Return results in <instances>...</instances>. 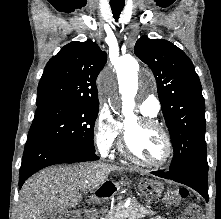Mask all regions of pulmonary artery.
<instances>
[{"label": "pulmonary artery", "instance_id": "e3ab8cb5", "mask_svg": "<svg viewBox=\"0 0 221 219\" xmlns=\"http://www.w3.org/2000/svg\"><path fill=\"white\" fill-rule=\"evenodd\" d=\"M140 110L149 116H156L160 110V103L154 95H149L141 103Z\"/></svg>", "mask_w": 221, "mask_h": 219}]
</instances>
